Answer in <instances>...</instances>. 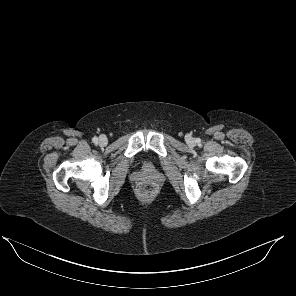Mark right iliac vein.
I'll list each match as a JSON object with an SVG mask.
<instances>
[{
    "label": "right iliac vein",
    "instance_id": "63e3f726",
    "mask_svg": "<svg viewBox=\"0 0 296 296\" xmlns=\"http://www.w3.org/2000/svg\"><path fill=\"white\" fill-rule=\"evenodd\" d=\"M99 144L102 145V146L106 145L107 144V138L104 137V136H101L99 138Z\"/></svg>",
    "mask_w": 296,
    "mask_h": 296
}]
</instances>
